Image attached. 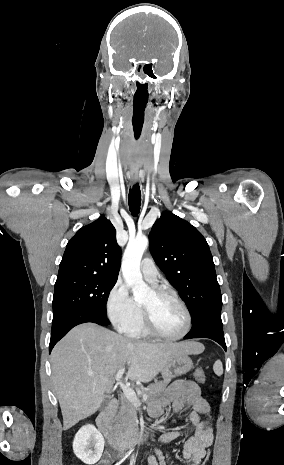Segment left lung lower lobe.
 Instances as JSON below:
<instances>
[{
    "mask_svg": "<svg viewBox=\"0 0 284 465\" xmlns=\"http://www.w3.org/2000/svg\"><path fill=\"white\" fill-rule=\"evenodd\" d=\"M191 338L212 339L226 351L221 313H209L194 322L190 332L185 336V339Z\"/></svg>",
    "mask_w": 284,
    "mask_h": 465,
    "instance_id": "left-lung-lower-lobe-1",
    "label": "left lung lower lobe"
}]
</instances>
